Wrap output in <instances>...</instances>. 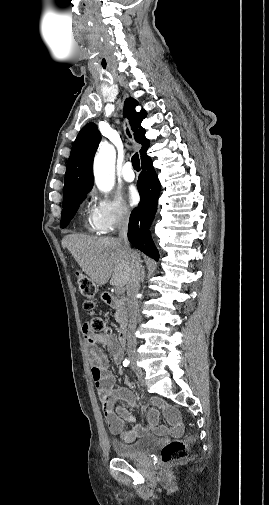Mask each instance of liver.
I'll list each match as a JSON object with an SVG mask.
<instances>
[{"label":"liver","instance_id":"6515ba94","mask_svg":"<svg viewBox=\"0 0 269 505\" xmlns=\"http://www.w3.org/2000/svg\"><path fill=\"white\" fill-rule=\"evenodd\" d=\"M62 247L69 250L92 283L101 286L110 280L113 286L127 288L130 260L118 238L70 234L62 239Z\"/></svg>","mask_w":269,"mask_h":505}]
</instances>
